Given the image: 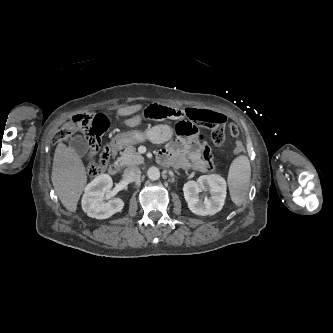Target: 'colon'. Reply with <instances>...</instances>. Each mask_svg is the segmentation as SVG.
I'll list each match as a JSON object with an SVG mask.
<instances>
[{
  "mask_svg": "<svg viewBox=\"0 0 333 333\" xmlns=\"http://www.w3.org/2000/svg\"><path fill=\"white\" fill-rule=\"evenodd\" d=\"M185 113L192 120H206V116L195 109H187ZM181 116L182 113L176 109L155 104L139 111L137 119L141 123H147L150 120L179 119ZM204 123L211 127V140L216 146L223 144L227 134L236 136L238 133L237 127L234 124L223 125L221 122ZM108 127L109 122L104 116H93L87 113L77 114L72 118L69 127L62 129L58 133L57 140L68 142L74 133H82L88 144L87 171L89 175L96 176L106 169L111 157V152L108 146L101 148V136ZM176 132L179 135L191 137L196 134V129L191 123L181 121L176 127ZM234 149L236 152L241 153L244 151L245 146L242 142H237ZM100 150V158L98 161H95L94 156ZM201 156L206 164L207 170H213L215 163L213 161L212 152L207 145L201 146Z\"/></svg>",
  "mask_w": 333,
  "mask_h": 333,
  "instance_id": "colon-1",
  "label": "colon"
}]
</instances>
